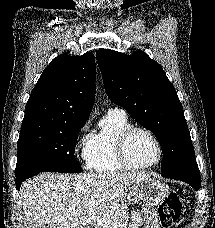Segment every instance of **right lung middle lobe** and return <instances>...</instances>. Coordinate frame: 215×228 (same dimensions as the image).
Listing matches in <instances>:
<instances>
[{
	"instance_id": "right-lung-middle-lobe-1",
	"label": "right lung middle lobe",
	"mask_w": 215,
	"mask_h": 228,
	"mask_svg": "<svg viewBox=\"0 0 215 228\" xmlns=\"http://www.w3.org/2000/svg\"><path fill=\"white\" fill-rule=\"evenodd\" d=\"M85 123H59L21 129L15 176L35 172H81L74 151L78 133Z\"/></svg>"
}]
</instances>
